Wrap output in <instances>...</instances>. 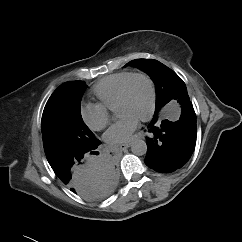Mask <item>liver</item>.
<instances>
[{
  "label": "liver",
  "instance_id": "1",
  "mask_svg": "<svg viewBox=\"0 0 242 242\" xmlns=\"http://www.w3.org/2000/svg\"><path fill=\"white\" fill-rule=\"evenodd\" d=\"M99 177L91 182H88L87 184H84V186L81 188L78 194L89 199L99 197L103 193V190L106 187L107 183L106 181L100 180Z\"/></svg>",
  "mask_w": 242,
  "mask_h": 242
}]
</instances>
